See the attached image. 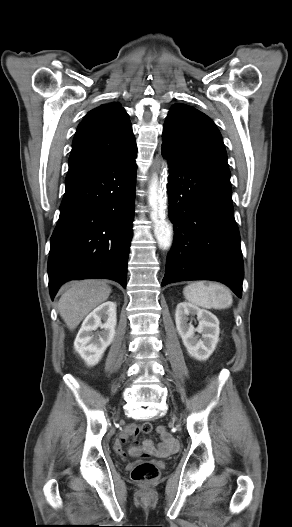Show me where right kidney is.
Instances as JSON below:
<instances>
[{
    "mask_svg": "<svg viewBox=\"0 0 292 527\" xmlns=\"http://www.w3.org/2000/svg\"><path fill=\"white\" fill-rule=\"evenodd\" d=\"M116 322V303L111 301L98 306L83 321L74 348L88 366L96 365L112 343Z\"/></svg>",
    "mask_w": 292,
    "mask_h": 527,
    "instance_id": "obj_1",
    "label": "right kidney"
}]
</instances>
